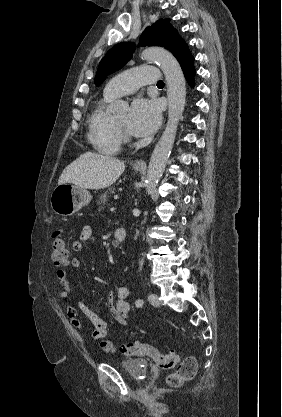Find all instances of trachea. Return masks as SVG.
<instances>
[{
	"label": "trachea",
	"mask_w": 282,
	"mask_h": 417,
	"mask_svg": "<svg viewBox=\"0 0 282 417\" xmlns=\"http://www.w3.org/2000/svg\"><path fill=\"white\" fill-rule=\"evenodd\" d=\"M157 85H164V82H163L162 80H159V81L157 82Z\"/></svg>",
	"instance_id": "1"
}]
</instances>
